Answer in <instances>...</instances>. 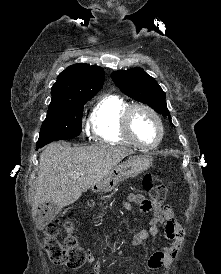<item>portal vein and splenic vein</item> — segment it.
Wrapping results in <instances>:
<instances>
[{
  "label": "portal vein and splenic vein",
  "mask_w": 221,
  "mask_h": 274,
  "mask_svg": "<svg viewBox=\"0 0 221 274\" xmlns=\"http://www.w3.org/2000/svg\"><path fill=\"white\" fill-rule=\"evenodd\" d=\"M80 175H81L80 173H75L73 177H74V179H76V178H78Z\"/></svg>",
  "instance_id": "1"
}]
</instances>
